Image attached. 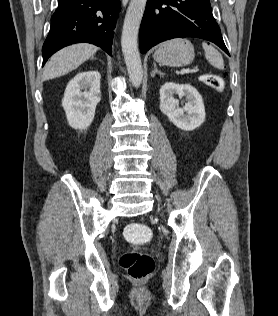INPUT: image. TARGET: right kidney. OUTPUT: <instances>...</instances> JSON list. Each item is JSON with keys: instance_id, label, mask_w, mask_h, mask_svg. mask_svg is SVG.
I'll list each match as a JSON object with an SVG mask.
<instances>
[{"instance_id": "1", "label": "right kidney", "mask_w": 278, "mask_h": 316, "mask_svg": "<svg viewBox=\"0 0 278 316\" xmlns=\"http://www.w3.org/2000/svg\"><path fill=\"white\" fill-rule=\"evenodd\" d=\"M100 79L98 71L90 70L78 73L68 83L62 106L72 128L85 130L91 125L101 99Z\"/></svg>"}]
</instances>
